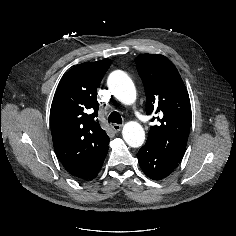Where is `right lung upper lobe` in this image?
Here are the masks:
<instances>
[{
	"instance_id": "right-lung-upper-lobe-1",
	"label": "right lung upper lobe",
	"mask_w": 236,
	"mask_h": 236,
	"mask_svg": "<svg viewBox=\"0 0 236 236\" xmlns=\"http://www.w3.org/2000/svg\"><path fill=\"white\" fill-rule=\"evenodd\" d=\"M109 59L85 62L62 78L54 96L50 125L55 152L78 178L86 177L106 157L109 137L98 119L97 87L110 67Z\"/></svg>"
}]
</instances>
